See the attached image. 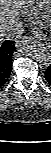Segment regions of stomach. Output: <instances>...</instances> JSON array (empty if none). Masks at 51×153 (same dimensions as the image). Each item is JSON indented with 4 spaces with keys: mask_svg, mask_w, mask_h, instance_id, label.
Here are the masks:
<instances>
[{
    "mask_svg": "<svg viewBox=\"0 0 51 153\" xmlns=\"http://www.w3.org/2000/svg\"><path fill=\"white\" fill-rule=\"evenodd\" d=\"M42 36H43L44 38H47V43L50 45V41H51V32H50L48 35H46L45 33H42Z\"/></svg>",
    "mask_w": 51,
    "mask_h": 153,
    "instance_id": "1",
    "label": "stomach"
}]
</instances>
